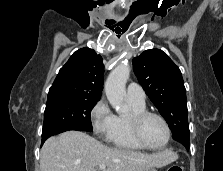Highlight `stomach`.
I'll use <instances>...</instances> for the list:
<instances>
[{
	"label": "stomach",
	"instance_id": "stomach-1",
	"mask_svg": "<svg viewBox=\"0 0 223 171\" xmlns=\"http://www.w3.org/2000/svg\"><path fill=\"white\" fill-rule=\"evenodd\" d=\"M143 171H157L154 167H149L144 169Z\"/></svg>",
	"mask_w": 223,
	"mask_h": 171
}]
</instances>
